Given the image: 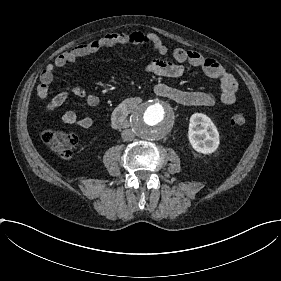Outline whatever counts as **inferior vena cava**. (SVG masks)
<instances>
[{"instance_id":"inferior-vena-cava-1","label":"inferior vena cava","mask_w":281,"mask_h":281,"mask_svg":"<svg viewBox=\"0 0 281 281\" xmlns=\"http://www.w3.org/2000/svg\"><path fill=\"white\" fill-rule=\"evenodd\" d=\"M135 137V134L132 130L126 129L122 132V138L126 141H131Z\"/></svg>"}]
</instances>
